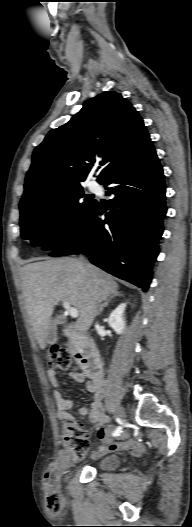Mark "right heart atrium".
Listing matches in <instances>:
<instances>
[{"mask_svg":"<svg viewBox=\"0 0 192 527\" xmlns=\"http://www.w3.org/2000/svg\"><path fill=\"white\" fill-rule=\"evenodd\" d=\"M69 224L68 215L60 211L55 214L49 225V234L52 238L61 237L66 231Z\"/></svg>","mask_w":192,"mask_h":527,"instance_id":"obj_1","label":"right heart atrium"}]
</instances>
